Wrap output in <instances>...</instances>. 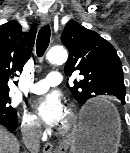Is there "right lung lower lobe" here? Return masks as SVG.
Instances as JSON below:
<instances>
[{
    "label": "right lung lower lobe",
    "mask_w": 130,
    "mask_h": 153,
    "mask_svg": "<svg viewBox=\"0 0 130 153\" xmlns=\"http://www.w3.org/2000/svg\"><path fill=\"white\" fill-rule=\"evenodd\" d=\"M0 124L14 131L18 126L17 114L11 115L0 110Z\"/></svg>",
    "instance_id": "98d812e1"
}]
</instances>
